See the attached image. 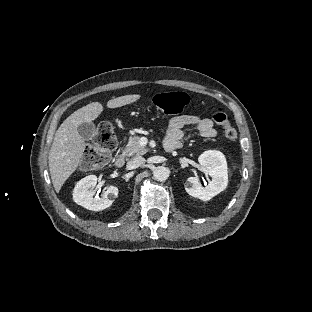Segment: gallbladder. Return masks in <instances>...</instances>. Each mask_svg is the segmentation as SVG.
I'll return each mask as SVG.
<instances>
[{"label": "gallbladder", "instance_id": "gallbladder-1", "mask_svg": "<svg viewBox=\"0 0 312 312\" xmlns=\"http://www.w3.org/2000/svg\"><path fill=\"white\" fill-rule=\"evenodd\" d=\"M77 131L84 140H90L94 136L95 125L92 122H84L78 126Z\"/></svg>", "mask_w": 312, "mask_h": 312}]
</instances>
